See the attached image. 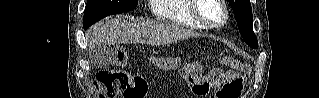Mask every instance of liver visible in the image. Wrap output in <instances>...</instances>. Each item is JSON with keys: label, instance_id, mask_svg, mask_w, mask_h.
I'll return each instance as SVG.
<instances>
[{"label": "liver", "instance_id": "6515ba94", "mask_svg": "<svg viewBox=\"0 0 319 98\" xmlns=\"http://www.w3.org/2000/svg\"><path fill=\"white\" fill-rule=\"evenodd\" d=\"M200 34L175 24H163L152 21L117 17L108 21H100L93 25L86 37L91 50L99 45L142 43V37L148 44L162 45L180 40L195 38Z\"/></svg>", "mask_w": 319, "mask_h": 98}]
</instances>
